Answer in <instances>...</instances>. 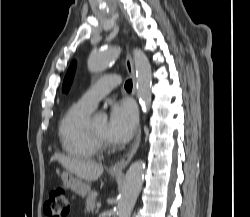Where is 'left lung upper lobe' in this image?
Returning <instances> with one entry per match:
<instances>
[{"label":"left lung upper lobe","mask_w":250,"mask_h":217,"mask_svg":"<svg viewBox=\"0 0 250 217\" xmlns=\"http://www.w3.org/2000/svg\"><path fill=\"white\" fill-rule=\"evenodd\" d=\"M75 66H76V62H72V64L70 65V68L67 71V74L65 76L64 82H63V86H62V91L63 92H68L71 83H72V79H73V74H74V70H75Z\"/></svg>","instance_id":"obj_1"}]
</instances>
